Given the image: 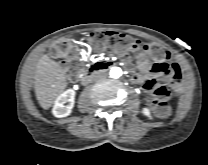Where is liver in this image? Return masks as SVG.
<instances>
[{
	"label": "liver",
	"instance_id": "1",
	"mask_svg": "<svg viewBox=\"0 0 208 165\" xmlns=\"http://www.w3.org/2000/svg\"><path fill=\"white\" fill-rule=\"evenodd\" d=\"M66 86L65 73L59 63L43 55L34 73V89L40 106L49 109Z\"/></svg>",
	"mask_w": 208,
	"mask_h": 165
}]
</instances>
